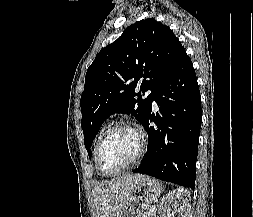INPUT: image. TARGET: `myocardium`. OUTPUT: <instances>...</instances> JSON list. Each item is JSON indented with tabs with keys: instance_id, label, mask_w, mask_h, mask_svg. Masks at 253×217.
I'll return each mask as SVG.
<instances>
[{
	"instance_id": "obj_1",
	"label": "myocardium",
	"mask_w": 253,
	"mask_h": 217,
	"mask_svg": "<svg viewBox=\"0 0 253 217\" xmlns=\"http://www.w3.org/2000/svg\"><path fill=\"white\" fill-rule=\"evenodd\" d=\"M119 129H127L132 131L138 140V149L136 154L134 155V157L125 165H123L122 167L112 171V172H105L100 165V151H101V147L104 143V141L106 140V138L113 133L116 130ZM146 145H147V141H146V136L143 132V130L132 124V123H128V122H121V123H117L115 125H113L112 127H110L98 140L97 144H96V148H95V166H96V170L99 174H101L102 176H113V175H117L125 170H127L128 168L132 167L133 165H135L144 155L145 150H146Z\"/></svg>"
}]
</instances>
